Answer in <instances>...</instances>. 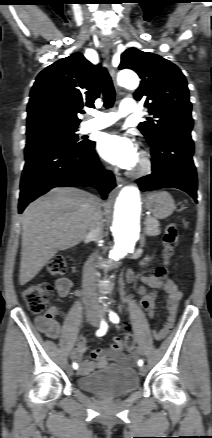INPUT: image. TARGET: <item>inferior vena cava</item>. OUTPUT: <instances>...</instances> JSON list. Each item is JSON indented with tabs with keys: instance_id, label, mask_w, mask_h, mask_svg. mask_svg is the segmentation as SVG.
Instances as JSON below:
<instances>
[{
	"instance_id": "obj_1",
	"label": "inferior vena cava",
	"mask_w": 212,
	"mask_h": 438,
	"mask_svg": "<svg viewBox=\"0 0 212 438\" xmlns=\"http://www.w3.org/2000/svg\"><path fill=\"white\" fill-rule=\"evenodd\" d=\"M88 237L95 242H98L103 237V217L100 204L96 206L92 214ZM95 255L96 253H94L85 264L83 274V286L86 290L85 302L89 309L99 308V299L93 289V284L96 278L94 267Z\"/></svg>"
}]
</instances>
